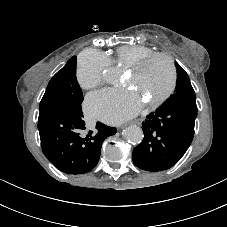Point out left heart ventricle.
<instances>
[{
    "label": "left heart ventricle",
    "instance_id": "b2bd125f",
    "mask_svg": "<svg viewBox=\"0 0 227 227\" xmlns=\"http://www.w3.org/2000/svg\"><path fill=\"white\" fill-rule=\"evenodd\" d=\"M172 79L169 63L164 58H156L138 73L129 72L124 80L144 101L160 97L170 86Z\"/></svg>",
    "mask_w": 227,
    "mask_h": 227
}]
</instances>
